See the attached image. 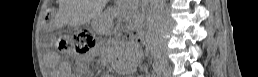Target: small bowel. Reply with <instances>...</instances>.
<instances>
[{"label": "small bowel", "mask_w": 258, "mask_h": 77, "mask_svg": "<svg viewBox=\"0 0 258 77\" xmlns=\"http://www.w3.org/2000/svg\"><path fill=\"white\" fill-rule=\"evenodd\" d=\"M52 56H53V54H50V57H52ZM126 57H127V61L125 63V68H126V70L130 71L139 62V60L141 58V53L137 52V51H128L126 54ZM59 67H60V69H67V66L64 64V62H60ZM60 73H63V72H60Z\"/></svg>", "instance_id": "1"}]
</instances>
